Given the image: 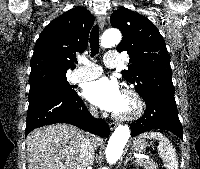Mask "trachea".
Wrapping results in <instances>:
<instances>
[{
	"label": "trachea",
	"instance_id": "trachea-1",
	"mask_svg": "<svg viewBox=\"0 0 200 169\" xmlns=\"http://www.w3.org/2000/svg\"><path fill=\"white\" fill-rule=\"evenodd\" d=\"M91 57L99 53V28L95 25L90 33Z\"/></svg>",
	"mask_w": 200,
	"mask_h": 169
}]
</instances>
